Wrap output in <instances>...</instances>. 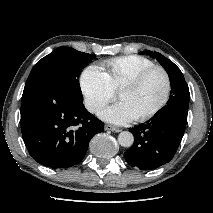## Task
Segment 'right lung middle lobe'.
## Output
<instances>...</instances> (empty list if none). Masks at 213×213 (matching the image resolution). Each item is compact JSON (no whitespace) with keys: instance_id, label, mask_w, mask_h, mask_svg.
<instances>
[{"instance_id":"obj_1","label":"right lung middle lobe","mask_w":213,"mask_h":213,"mask_svg":"<svg viewBox=\"0 0 213 213\" xmlns=\"http://www.w3.org/2000/svg\"><path fill=\"white\" fill-rule=\"evenodd\" d=\"M95 57L70 47H59L39 60L31 70L27 83L47 80L67 90L78 100H82V92L78 76L82 68Z\"/></svg>"}]
</instances>
